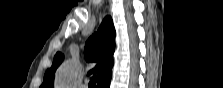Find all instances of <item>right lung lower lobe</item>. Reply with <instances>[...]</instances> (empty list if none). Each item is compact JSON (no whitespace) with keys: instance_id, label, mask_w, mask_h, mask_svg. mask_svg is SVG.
<instances>
[{"instance_id":"98d812e1","label":"right lung lower lobe","mask_w":223,"mask_h":88,"mask_svg":"<svg viewBox=\"0 0 223 88\" xmlns=\"http://www.w3.org/2000/svg\"><path fill=\"white\" fill-rule=\"evenodd\" d=\"M110 80H111V78L109 80H105L104 82L99 83L97 85V87L98 88H109V86H110Z\"/></svg>"}]
</instances>
